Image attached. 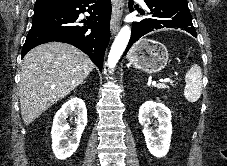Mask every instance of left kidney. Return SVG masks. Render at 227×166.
<instances>
[{
	"mask_svg": "<svg viewBox=\"0 0 227 166\" xmlns=\"http://www.w3.org/2000/svg\"><path fill=\"white\" fill-rule=\"evenodd\" d=\"M157 119V128L150 127V119ZM171 111L163 104L154 101H146L139 109V123L143 125V134L149 152L157 157H164L170 148L172 124Z\"/></svg>",
	"mask_w": 227,
	"mask_h": 166,
	"instance_id": "1",
	"label": "left kidney"
}]
</instances>
